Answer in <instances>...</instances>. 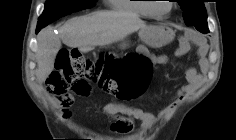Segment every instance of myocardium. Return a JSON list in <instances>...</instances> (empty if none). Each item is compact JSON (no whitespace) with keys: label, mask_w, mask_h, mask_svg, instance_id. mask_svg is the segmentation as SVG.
I'll use <instances>...</instances> for the list:
<instances>
[{"label":"myocardium","mask_w":236,"mask_h":140,"mask_svg":"<svg viewBox=\"0 0 236 140\" xmlns=\"http://www.w3.org/2000/svg\"><path fill=\"white\" fill-rule=\"evenodd\" d=\"M152 1H154V0H152ZM149 7H150V10H151L153 16L156 17V18H159V19L167 18V17L171 14V12L174 10V5H173V3H171V2H170V6H169L168 12H167V13H164V14L159 13V12L156 10V7H155L154 4H150Z\"/></svg>","instance_id":"obj_1"}]
</instances>
